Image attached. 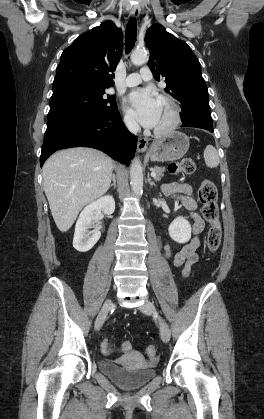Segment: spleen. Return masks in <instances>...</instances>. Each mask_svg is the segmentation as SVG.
<instances>
[{"label": "spleen", "instance_id": "1", "mask_svg": "<svg viewBox=\"0 0 264 419\" xmlns=\"http://www.w3.org/2000/svg\"><path fill=\"white\" fill-rule=\"evenodd\" d=\"M204 159L209 168H215L219 165V156L214 146H206L204 150Z\"/></svg>", "mask_w": 264, "mask_h": 419}]
</instances>
